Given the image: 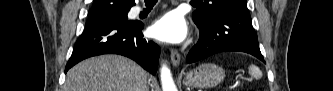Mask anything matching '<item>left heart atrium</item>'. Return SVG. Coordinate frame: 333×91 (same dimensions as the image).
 <instances>
[{"instance_id":"1","label":"left heart atrium","mask_w":333,"mask_h":91,"mask_svg":"<svg viewBox=\"0 0 333 91\" xmlns=\"http://www.w3.org/2000/svg\"><path fill=\"white\" fill-rule=\"evenodd\" d=\"M150 32L160 42L181 43L188 34V26L182 15L169 12L152 24Z\"/></svg>"}]
</instances>
